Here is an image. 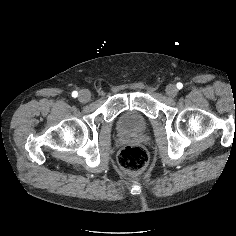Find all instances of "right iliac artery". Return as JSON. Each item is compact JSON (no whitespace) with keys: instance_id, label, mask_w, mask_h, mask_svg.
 I'll use <instances>...</instances> for the list:
<instances>
[{"instance_id":"obj_1","label":"right iliac artery","mask_w":236,"mask_h":236,"mask_svg":"<svg viewBox=\"0 0 236 236\" xmlns=\"http://www.w3.org/2000/svg\"><path fill=\"white\" fill-rule=\"evenodd\" d=\"M78 96V92L77 91H73L72 92V97L76 98Z\"/></svg>"}]
</instances>
